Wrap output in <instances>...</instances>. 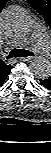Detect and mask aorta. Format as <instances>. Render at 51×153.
<instances>
[{"instance_id": "1", "label": "aorta", "mask_w": 51, "mask_h": 153, "mask_svg": "<svg viewBox=\"0 0 51 153\" xmlns=\"http://www.w3.org/2000/svg\"><path fill=\"white\" fill-rule=\"evenodd\" d=\"M1 25L6 35L22 37L30 31L33 19L24 8L13 6L2 12ZM30 69L38 79H47L51 76V62L45 57L33 58Z\"/></svg>"}]
</instances>
